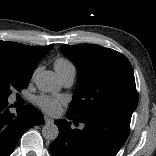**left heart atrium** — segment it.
Wrapping results in <instances>:
<instances>
[{
	"instance_id": "obj_1",
	"label": "left heart atrium",
	"mask_w": 156,
	"mask_h": 156,
	"mask_svg": "<svg viewBox=\"0 0 156 156\" xmlns=\"http://www.w3.org/2000/svg\"><path fill=\"white\" fill-rule=\"evenodd\" d=\"M35 101L36 104L48 114H56L63 104L62 99L50 95H40L35 99Z\"/></svg>"
}]
</instances>
